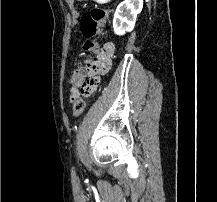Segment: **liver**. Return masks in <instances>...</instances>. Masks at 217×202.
<instances>
[{"instance_id":"obj_1","label":"liver","mask_w":217,"mask_h":202,"mask_svg":"<svg viewBox=\"0 0 217 202\" xmlns=\"http://www.w3.org/2000/svg\"><path fill=\"white\" fill-rule=\"evenodd\" d=\"M67 4H72L73 0H66Z\"/></svg>"}]
</instances>
